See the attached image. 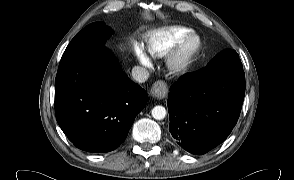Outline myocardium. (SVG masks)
<instances>
[{"instance_id": "myocardium-1", "label": "myocardium", "mask_w": 294, "mask_h": 180, "mask_svg": "<svg viewBox=\"0 0 294 180\" xmlns=\"http://www.w3.org/2000/svg\"><path fill=\"white\" fill-rule=\"evenodd\" d=\"M202 48V41L196 34L185 36L167 55L165 66L169 74L181 76L191 68Z\"/></svg>"}]
</instances>
